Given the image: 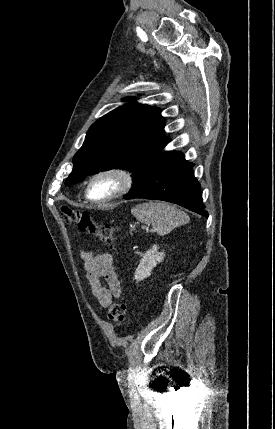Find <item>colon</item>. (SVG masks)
I'll use <instances>...</instances> for the list:
<instances>
[{"mask_svg": "<svg viewBox=\"0 0 275 429\" xmlns=\"http://www.w3.org/2000/svg\"><path fill=\"white\" fill-rule=\"evenodd\" d=\"M61 212L66 224L75 225L81 232L91 234L109 248H113L114 231L111 225L98 223L88 213L67 206L62 207ZM108 317L117 325H122L126 319V304L121 301L110 304Z\"/></svg>", "mask_w": 275, "mask_h": 429, "instance_id": "1", "label": "colon"}]
</instances>
